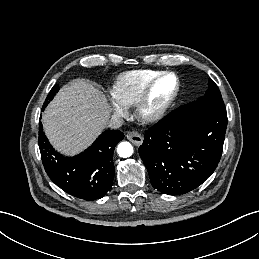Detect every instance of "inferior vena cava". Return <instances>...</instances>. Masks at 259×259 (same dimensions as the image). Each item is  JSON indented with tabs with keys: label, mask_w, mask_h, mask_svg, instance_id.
I'll use <instances>...</instances> for the list:
<instances>
[{
	"label": "inferior vena cava",
	"mask_w": 259,
	"mask_h": 259,
	"mask_svg": "<svg viewBox=\"0 0 259 259\" xmlns=\"http://www.w3.org/2000/svg\"><path fill=\"white\" fill-rule=\"evenodd\" d=\"M123 123L124 120L120 116L112 115L109 120V127H111L112 129H117L121 127Z\"/></svg>",
	"instance_id": "602c4592"
}]
</instances>
